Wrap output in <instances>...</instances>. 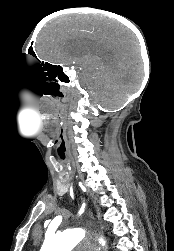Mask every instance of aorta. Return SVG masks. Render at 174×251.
Here are the masks:
<instances>
[{
    "label": "aorta",
    "instance_id": "obj_1",
    "mask_svg": "<svg viewBox=\"0 0 174 251\" xmlns=\"http://www.w3.org/2000/svg\"><path fill=\"white\" fill-rule=\"evenodd\" d=\"M83 239L84 232L81 229L66 230L46 240L40 251H71ZM99 242L105 244L102 239H99Z\"/></svg>",
    "mask_w": 174,
    "mask_h": 251
}]
</instances>
